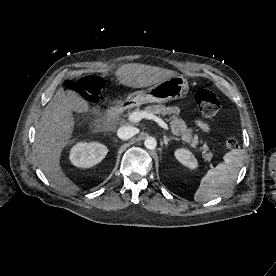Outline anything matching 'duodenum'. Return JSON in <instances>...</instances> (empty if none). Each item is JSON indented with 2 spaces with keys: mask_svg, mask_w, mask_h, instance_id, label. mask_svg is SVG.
I'll return each mask as SVG.
<instances>
[{
  "mask_svg": "<svg viewBox=\"0 0 276 276\" xmlns=\"http://www.w3.org/2000/svg\"><path fill=\"white\" fill-rule=\"evenodd\" d=\"M124 105L123 104H115L111 106L107 111H106V117L101 126H99V131L104 132L107 131L118 119L119 115L122 113L124 110Z\"/></svg>",
  "mask_w": 276,
  "mask_h": 276,
  "instance_id": "duodenum-1",
  "label": "duodenum"
}]
</instances>
